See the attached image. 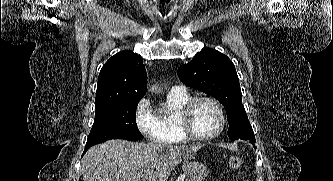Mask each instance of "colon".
I'll use <instances>...</instances> for the list:
<instances>
[{
	"instance_id": "1",
	"label": "colon",
	"mask_w": 333,
	"mask_h": 181,
	"mask_svg": "<svg viewBox=\"0 0 333 181\" xmlns=\"http://www.w3.org/2000/svg\"><path fill=\"white\" fill-rule=\"evenodd\" d=\"M244 165V160L240 156H231L228 159V166L232 170H240Z\"/></svg>"
}]
</instances>
